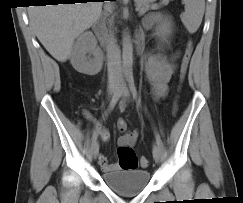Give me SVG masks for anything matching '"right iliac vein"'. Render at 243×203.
<instances>
[{"mask_svg": "<svg viewBox=\"0 0 243 203\" xmlns=\"http://www.w3.org/2000/svg\"><path fill=\"white\" fill-rule=\"evenodd\" d=\"M117 92V89L115 86H111L108 90V95L109 97L113 96ZM91 153L93 158H96L99 153V144L97 141L93 142L92 147H91Z\"/></svg>", "mask_w": 243, "mask_h": 203, "instance_id": "right-iliac-vein-1", "label": "right iliac vein"}]
</instances>
